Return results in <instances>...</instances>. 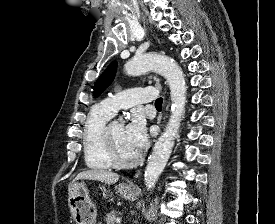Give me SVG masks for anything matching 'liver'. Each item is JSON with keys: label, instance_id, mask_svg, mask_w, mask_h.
<instances>
[{"label": "liver", "instance_id": "6515ba94", "mask_svg": "<svg viewBox=\"0 0 275 224\" xmlns=\"http://www.w3.org/2000/svg\"><path fill=\"white\" fill-rule=\"evenodd\" d=\"M80 179L97 180L110 185V184L116 183L119 180V175L112 171H107L102 169H91V170L80 172L75 177L74 181L80 180ZM70 186H69V190H70Z\"/></svg>", "mask_w": 275, "mask_h": 224}]
</instances>
